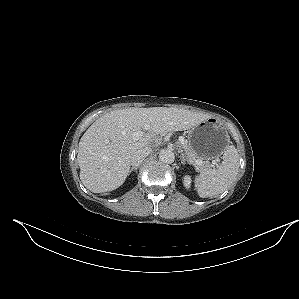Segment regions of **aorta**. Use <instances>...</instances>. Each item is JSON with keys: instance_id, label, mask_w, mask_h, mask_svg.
<instances>
[{"instance_id": "1", "label": "aorta", "mask_w": 299, "mask_h": 299, "mask_svg": "<svg viewBox=\"0 0 299 299\" xmlns=\"http://www.w3.org/2000/svg\"><path fill=\"white\" fill-rule=\"evenodd\" d=\"M159 160L163 163L171 164L175 160V154L171 150H161L159 153Z\"/></svg>"}]
</instances>
